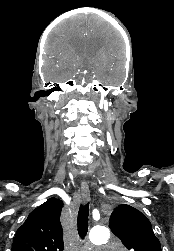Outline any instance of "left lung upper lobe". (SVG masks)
Segmentation results:
<instances>
[{
	"label": "left lung upper lobe",
	"mask_w": 174,
	"mask_h": 251,
	"mask_svg": "<svg viewBox=\"0 0 174 251\" xmlns=\"http://www.w3.org/2000/svg\"><path fill=\"white\" fill-rule=\"evenodd\" d=\"M109 227L130 251H161L150 221L132 206L117 207L111 215Z\"/></svg>",
	"instance_id": "obj_1"
}]
</instances>
